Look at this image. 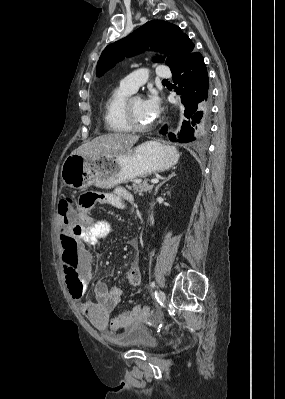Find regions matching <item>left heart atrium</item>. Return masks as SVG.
Here are the masks:
<instances>
[{"label": "left heart atrium", "instance_id": "obj_1", "mask_svg": "<svg viewBox=\"0 0 285 399\" xmlns=\"http://www.w3.org/2000/svg\"><path fill=\"white\" fill-rule=\"evenodd\" d=\"M142 103L144 112L151 121L155 120L160 115L161 102L156 94L151 93Z\"/></svg>", "mask_w": 285, "mask_h": 399}]
</instances>
